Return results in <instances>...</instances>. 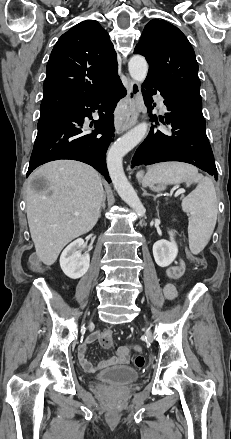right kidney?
<instances>
[{
    "label": "right kidney",
    "instance_id": "right-kidney-1",
    "mask_svg": "<svg viewBox=\"0 0 231 439\" xmlns=\"http://www.w3.org/2000/svg\"><path fill=\"white\" fill-rule=\"evenodd\" d=\"M84 246V240L79 238L70 243L60 256L61 269L71 279L82 277L89 269L90 255H81L80 251Z\"/></svg>",
    "mask_w": 231,
    "mask_h": 439
}]
</instances>
